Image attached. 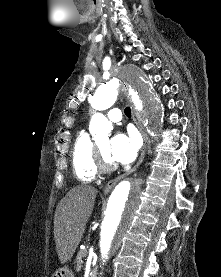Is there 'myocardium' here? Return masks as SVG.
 Returning a JSON list of instances; mask_svg holds the SVG:
<instances>
[{
	"mask_svg": "<svg viewBox=\"0 0 221 277\" xmlns=\"http://www.w3.org/2000/svg\"><path fill=\"white\" fill-rule=\"evenodd\" d=\"M95 164L98 172L106 173L116 169L114 162L108 161L98 145H95Z\"/></svg>",
	"mask_w": 221,
	"mask_h": 277,
	"instance_id": "1",
	"label": "myocardium"
}]
</instances>
